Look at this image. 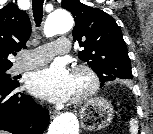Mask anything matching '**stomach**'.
<instances>
[{
	"mask_svg": "<svg viewBox=\"0 0 153 134\" xmlns=\"http://www.w3.org/2000/svg\"><path fill=\"white\" fill-rule=\"evenodd\" d=\"M82 127L87 131L106 128L113 119V107L107 100L96 97L88 100L80 109Z\"/></svg>",
	"mask_w": 153,
	"mask_h": 134,
	"instance_id": "obj_1",
	"label": "stomach"
}]
</instances>
